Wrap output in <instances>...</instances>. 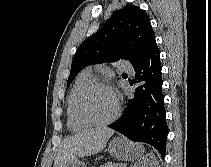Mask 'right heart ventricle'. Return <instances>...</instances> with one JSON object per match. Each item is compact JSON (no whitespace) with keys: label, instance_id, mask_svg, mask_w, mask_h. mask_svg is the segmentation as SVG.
<instances>
[{"label":"right heart ventricle","instance_id":"1","mask_svg":"<svg viewBox=\"0 0 211 167\" xmlns=\"http://www.w3.org/2000/svg\"><path fill=\"white\" fill-rule=\"evenodd\" d=\"M92 80L89 71H82L75 79L66 102L67 124L72 131H82L90 125L81 121L76 115L75 103L79 92Z\"/></svg>","mask_w":211,"mask_h":167}]
</instances>
